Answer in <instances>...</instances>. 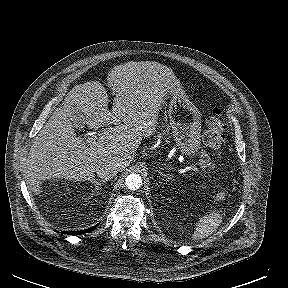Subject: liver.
<instances>
[{"label":"liver","instance_id":"1","mask_svg":"<svg viewBox=\"0 0 288 288\" xmlns=\"http://www.w3.org/2000/svg\"><path fill=\"white\" fill-rule=\"evenodd\" d=\"M106 85L116 94L112 111L99 81L77 85L35 137L25 172L30 191L39 194L42 181L51 178L92 181L96 166L105 161L124 170L142 139L155 133L159 109L180 82L172 69L158 62L131 61L115 66ZM73 110L85 115L89 129L106 127L92 143L76 136L68 113Z\"/></svg>","mask_w":288,"mask_h":288}]
</instances>
